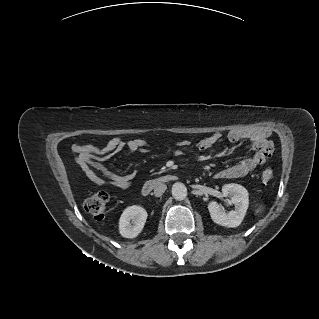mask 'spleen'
Segmentation results:
<instances>
[{
  "mask_svg": "<svg viewBox=\"0 0 319 319\" xmlns=\"http://www.w3.org/2000/svg\"><path fill=\"white\" fill-rule=\"evenodd\" d=\"M261 209H262V206H259V207L257 208L255 214H256V215L259 214V213L261 212Z\"/></svg>",
  "mask_w": 319,
  "mask_h": 319,
  "instance_id": "3e777b00",
  "label": "spleen"
}]
</instances>
